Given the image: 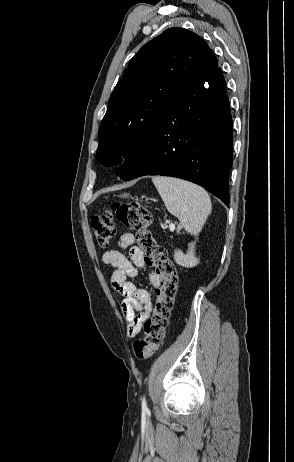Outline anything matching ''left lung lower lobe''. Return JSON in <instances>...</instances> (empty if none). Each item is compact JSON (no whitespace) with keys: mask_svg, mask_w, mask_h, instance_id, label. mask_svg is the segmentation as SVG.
<instances>
[{"mask_svg":"<svg viewBox=\"0 0 294 462\" xmlns=\"http://www.w3.org/2000/svg\"><path fill=\"white\" fill-rule=\"evenodd\" d=\"M232 118L225 80L217 67L191 83L125 160L123 180L145 175L196 183L229 205Z\"/></svg>","mask_w":294,"mask_h":462,"instance_id":"1","label":"left lung lower lobe"}]
</instances>
